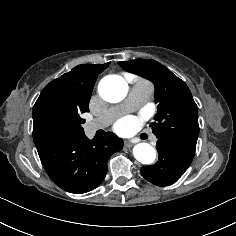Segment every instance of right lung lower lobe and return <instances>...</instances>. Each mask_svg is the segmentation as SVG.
Here are the masks:
<instances>
[{
  "instance_id": "obj_1",
  "label": "right lung lower lobe",
  "mask_w": 236,
  "mask_h": 236,
  "mask_svg": "<svg viewBox=\"0 0 236 236\" xmlns=\"http://www.w3.org/2000/svg\"><path fill=\"white\" fill-rule=\"evenodd\" d=\"M123 144L113 133H106L97 141L89 140L83 133L36 147L51 180L68 192L82 194L99 186L107 173L109 157L120 151Z\"/></svg>"
}]
</instances>
